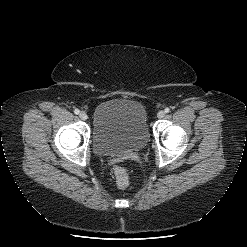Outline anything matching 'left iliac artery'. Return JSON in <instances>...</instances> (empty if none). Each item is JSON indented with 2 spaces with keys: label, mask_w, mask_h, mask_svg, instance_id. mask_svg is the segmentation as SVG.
Masks as SVG:
<instances>
[{
  "label": "left iliac artery",
  "mask_w": 247,
  "mask_h": 247,
  "mask_svg": "<svg viewBox=\"0 0 247 247\" xmlns=\"http://www.w3.org/2000/svg\"><path fill=\"white\" fill-rule=\"evenodd\" d=\"M165 113H169L170 112V109L167 107V108H165Z\"/></svg>",
  "instance_id": "obj_1"
}]
</instances>
